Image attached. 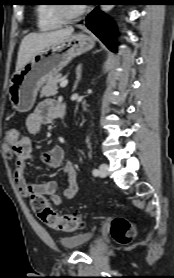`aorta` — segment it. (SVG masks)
Wrapping results in <instances>:
<instances>
[{
    "mask_svg": "<svg viewBox=\"0 0 174 278\" xmlns=\"http://www.w3.org/2000/svg\"><path fill=\"white\" fill-rule=\"evenodd\" d=\"M112 5H102V10L104 12H108L109 10H111Z\"/></svg>",
    "mask_w": 174,
    "mask_h": 278,
    "instance_id": "obj_1",
    "label": "aorta"
}]
</instances>
